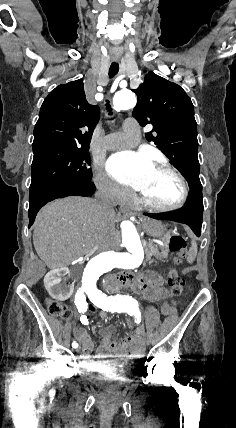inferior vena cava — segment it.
Masks as SVG:
<instances>
[{
    "mask_svg": "<svg viewBox=\"0 0 236 428\" xmlns=\"http://www.w3.org/2000/svg\"><path fill=\"white\" fill-rule=\"evenodd\" d=\"M97 190L98 192H96L95 194V198H97V208H100V210H104V212H110V210H113L112 202L115 190L114 184H112V182H110L108 178H102V180H99V182H97ZM96 240H99V237H96ZM93 247L94 250H96L93 254L94 256L95 254H98V252H101V250H104L99 249V241H94Z\"/></svg>",
    "mask_w": 236,
    "mask_h": 428,
    "instance_id": "obj_1",
    "label": "inferior vena cava"
}]
</instances>
